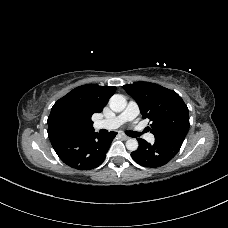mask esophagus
Returning <instances> with one entry per match:
<instances>
[{
  "instance_id": "1",
  "label": "esophagus",
  "mask_w": 228,
  "mask_h": 228,
  "mask_svg": "<svg viewBox=\"0 0 228 228\" xmlns=\"http://www.w3.org/2000/svg\"><path fill=\"white\" fill-rule=\"evenodd\" d=\"M121 138H122L123 140H128L130 137L122 133V134H121Z\"/></svg>"
}]
</instances>
